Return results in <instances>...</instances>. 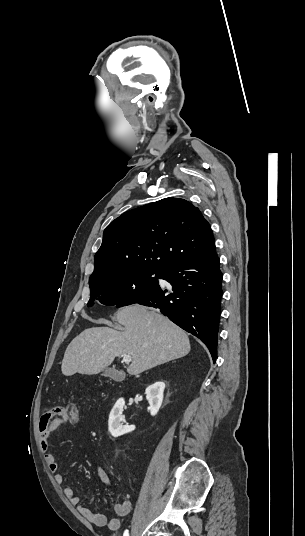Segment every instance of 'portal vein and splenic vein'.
<instances>
[{
    "label": "portal vein and splenic vein",
    "mask_w": 305,
    "mask_h": 536,
    "mask_svg": "<svg viewBox=\"0 0 305 536\" xmlns=\"http://www.w3.org/2000/svg\"><path fill=\"white\" fill-rule=\"evenodd\" d=\"M122 362H125V364H129V362H132L131 356H127V354H125V356H123Z\"/></svg>",
    "instance_id": "18ae733b"
}]
</instances>
